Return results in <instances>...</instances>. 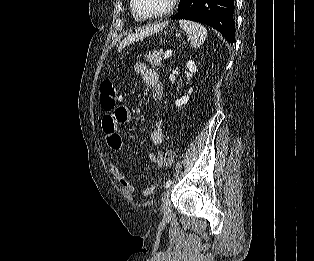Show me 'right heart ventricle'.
<instances>
[{
    "mask_svg": "<svg viewBox=\"0 0 314 261\" xmlns=\"http://www.w3.org/2000/svg\"><path fill=\"white\" fill-rule=\"evenodd\" d=\"M130 7H131V1H130ZM131 11H132V8H131ZM132 13H133V15L135 16V17H137L135 14H134V12L132 11Z\"/></svg>",
    "mask_w": 314,
    "mask_h": 261,
    "instance_id": "1",
    "label": "right heart ventricle"
}]
</instances>
